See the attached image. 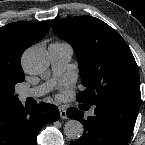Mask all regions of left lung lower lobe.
<instances>
[{
    "label": "left lung lower lobe",
    "mask_w": 145,
    "mask_h": 145,
    "mask_svg": "<svg viewBox=\"0 0 145 145\" xmlns=\"http://www.w3.org/2000/svg\"><path fill=\"white\" fill-rule=\"evenodd\" d=\"M140 102L136 98L98 102L93 104L94 115L87 118L77 108L68 109L67 116L84 126L82 137L70 145H126L135 126ZM82 106L89 107V104L83 103L80 109H83Z\"/></svg>",
    "instance_id": "obj_1"
}]
</instances>
